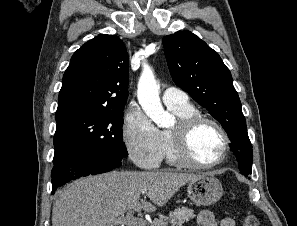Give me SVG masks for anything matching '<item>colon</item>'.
<instances>
[{"label": "colon", "mask_w": 297, "mask_h": 226, "mask_svg": "<svg viewBox=\"0 0 297 226\" xmlns=\"http://www.w3.org/2000/svg\"><path fill=\"white\" fill-rule=\"evenodd\" d=\"M243 226H258V219L253 214H247L243 220Z\"/></svg>", "instance_id": "5ec220e1"}]
</instances>
